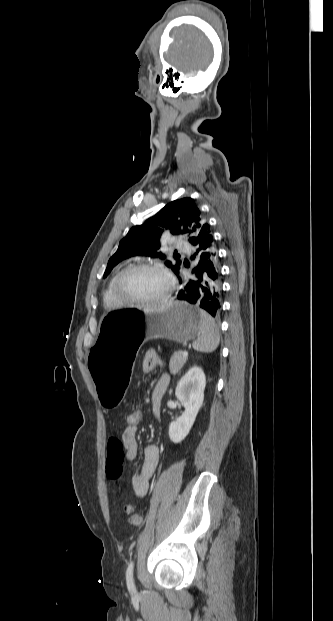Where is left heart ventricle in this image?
<instances>
[{"label":"left heart ventricle","mask_w":333,"mask_h":621,"mask_svg":"<svg viewBox=\"0 0 333 621\" xmlns=\"http://www.w3.org/2000/svg\"><path fill=\"white\" fill-rule=\"evenodd\" d=\"M167 289V280L157 271L138 270L129 274L122 282L121 292L130 299L153 300L162 296Z\"/></svg>","instance_id":"obj_1"}]
</instances>
